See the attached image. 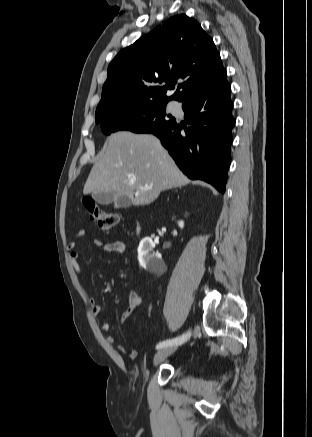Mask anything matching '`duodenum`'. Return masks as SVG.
Returning <instances> with one entry per match:
<instances>
[{
    "instance_id": "obj_1",
    "label": "duodenum",
    "mask_w": 312,
    "mask_h": 437,
    "mask_svg": "<svg viewBox=\"0 0 312 437\" xmlns=\"http://www.w3.org/2000/svg\"><path fill=\"white\" fill-rule=\"evenodd\" d=\"M140 231H141V228L139 227L138 232H140Z\"/></svg>"
}]
</instances>
